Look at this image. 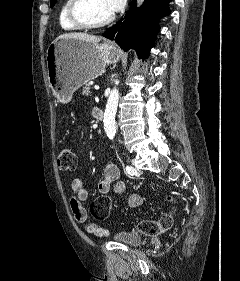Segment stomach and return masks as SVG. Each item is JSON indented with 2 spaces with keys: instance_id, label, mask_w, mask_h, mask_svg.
I'll list each match as a JSON object with an SVG mask.
<instances>
[{
  "instance_id": "0dacf381",
  "label": "stomach",
  "mask_w": 240,
  "mask_h": 281,
  "mask_svg": "<svg viewBox=\"0 0 240 281\" xmlns=\"http://www.w3.org/2000/svg\"><path fill=\"white\" fill-rule=\"evenodd\" d=\"M120 51L110 43H91L76 38L55 39L47 48L49 84L59 101L101 75L106 65L116 63Z\"/></svg>"
}]
</instances>
